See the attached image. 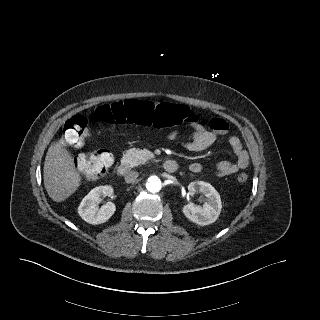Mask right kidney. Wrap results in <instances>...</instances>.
<instances>
[{
    "label": "right kidney",
    "instance_id": "right-kidney-1",
    "mask_svg": "<svg viewBox=\"0 0 320 320\" xmlns=\"http://www.w3.org/2000/svg\"><path fill=\"white\" fill-rule=\"evenodd\" d=\"M112 194L111 186L95 187L82 199L78 207V214L89 224L105 223L114 214L116 206L112 202H107L99 208L97 201L102 196H111Z\"/></svg>",
    "mask_w": 320,
    "mask_h": 320
}]
</instances>
